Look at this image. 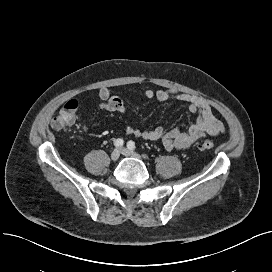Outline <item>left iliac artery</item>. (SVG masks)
<instances>
[{"label": "left iliac artery", "instance_id": "left-iliac-artery-1", "mask_svg": "<svg viewBox=\"0 0 272 272\" xmlns=\"http://www.w3.org/2000/svg\"><path fill=\"white\" fill-rule=\"evenodd\" d=\"M127 147H128V149H130V150H135V148H136L135 143H134L133 141H129V142L127 143Z\"/></svg>", "mask_w": 272, "mask_h": 272}]
</instances>
